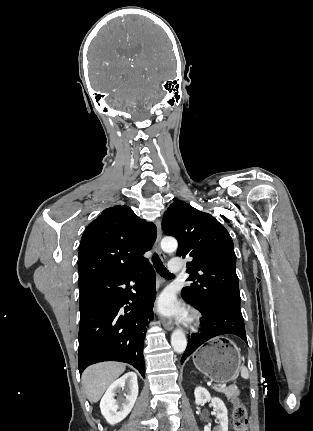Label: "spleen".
<instances>
[{
    "label": "spleen",
    "mask_w": 313,
    "mask_h": 431,
    "mask_svg": "<svg viewBox=\"0 0 313 431\" xmlns=\"http://www.w3.org/2000/svg\"><path fill=\"white\" fill-rule=\"evenodd\" d=\"M241 376H242V378H244V379H247V378L249 377L248 369H247L245 366H243V367L241 368Z\"/></svg>",
    "instance_id": "3e777b00"
}]
</instances>
